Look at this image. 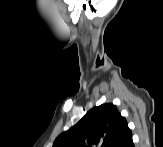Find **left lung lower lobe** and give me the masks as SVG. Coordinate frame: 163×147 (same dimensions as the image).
<instances>
[{
  "label": "left lung lower lobe",
  "instance_id": "1",
  "mask_svg": "<svg viewBox=\"0 0 163 147\" xmlns=\"http://www.w3.org/2000/svg\"><path fill=\"white\" fill-rule=\"evenodd\" d=\"M114 147H134L132 133L128 126L125 128Z\"/></svg>",
  "mask_w": 163,
  "mask_h": 147
}]
</instances>
